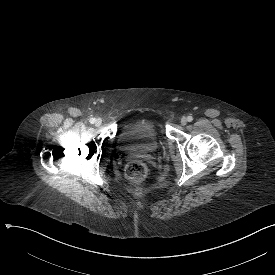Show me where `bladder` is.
<instances>
[{"label": "bladder", "instance_id": "31cf9c89", "mask_svg": "<svg viewBox=\"0 0 275 275\" xmlns=\"http://www.w3.org/2000/svg\"><path fill=\"white\" fill-rule=\"evenodd\" d=\"M116 140L121 152L139 156L154 155L162 143L155 121L146 116L127 121L118 131Z\"/></svg>", "mask_w": 275, "mask_h": 275}]
</instances>
